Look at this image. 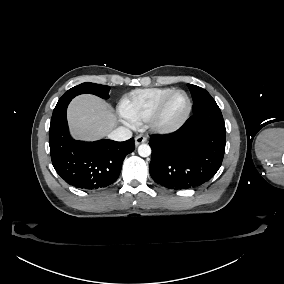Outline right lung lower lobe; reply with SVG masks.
<instances>
[{
	"label": "right lung lower lobe",
	"mask_w": 284,
	"mask_h": 284,
	"mask_svg": "<svg viewBox=\"0 0 284 284\" xmlns=\"http://www.w3.org/2000/svg\"><path fill=\"white\" fill-rule=\"evenodd\" d=\"M71 100L58 102L53 111L49 129L52 164L56 172L76 188L97 190L108 187L117 180L125 156L134 151V138L124 142L74 140L69 134L66 118Z\"/></svg>",
	"instance_id": "right-lung-lower-lobe-1"
}]
</instances>
